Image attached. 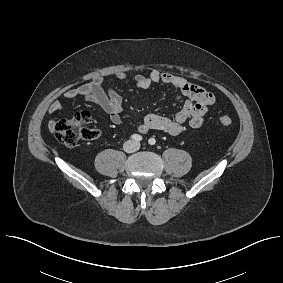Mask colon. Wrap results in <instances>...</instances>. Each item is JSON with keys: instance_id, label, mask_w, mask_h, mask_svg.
<instances>
[{"instance_id": "1", "label": "colon", "mask_w": 283, "mask_h": 283, "mask_svg": "<svg viewBox=\"0 0 283 283\" xmlns=\"http://www.w3.org/2000/svg\"><path fill=\"white\" fill-rule=\"evenodd\" d=\"M92 117L88 112L76 113L72 117L61 119L54 125L57 140L65 146H75L80 139L93 140L99 136V131L91 126ZM218 122L223 127L232 124L228 115L219 117Z\"/></svg>"}]
</instances>
